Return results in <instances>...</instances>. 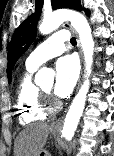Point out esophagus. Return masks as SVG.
<instances>
[{"label": "esophagus", "instance_id": "esophagus-1", "mask_svg": "<svg viewBox=\"0 0 114 156\" xmlns=\"http://www.w3.org/2000/svg\"><path fill=\"white\" fill-rule=\"evenodd\" d=\"M64 27L71 30L75 36H76V39H77V47H78V50H79V54H80V57H81V61H82V51H81V45H80V40L78 38V35L77 33L73 30V28L68 24V23H65L64 24ZM62 122H63V117L62 118H59L58 120H56L53 124H52V127L53 128H60L62 126Z\"/></svg>", "mask_w": 114, "mask_h": 156}]
</instances>
